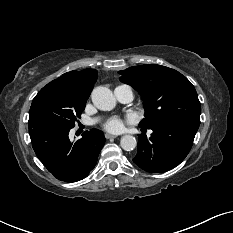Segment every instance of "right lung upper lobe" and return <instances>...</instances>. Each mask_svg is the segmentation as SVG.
<instances>
[{"label":"right lung upper lobe","mask_w":233,"mask_h":233,"mask_svg":"<svg viewBox=\"0 0 233 233\" xmlns=\"http://www.w3.org/2000/svg\"><path fill=\"white\" fill-rule=\"evenodd\" d=\"M97 75L98 72L95 69H84L80 72L70 71L49 84L57 85L68 93L88 99Z\"/></svg>","instance_id":"obj_1"}]
</instances>
